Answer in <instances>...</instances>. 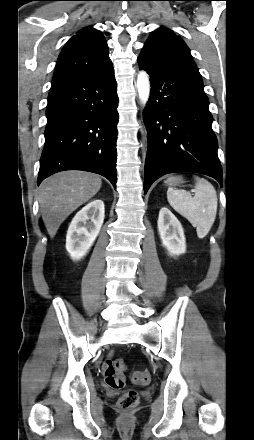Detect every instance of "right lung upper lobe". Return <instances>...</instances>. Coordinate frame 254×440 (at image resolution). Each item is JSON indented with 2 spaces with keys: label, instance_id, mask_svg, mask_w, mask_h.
<instances>
[{
  "label": "right lung upper lobe",
  "instance_id": "obj_1",
  "mask_svg": "<svg viewBox=\"0 0 254 440\" xmlns=\"http://www.w3.org/2000/svg\"><path fill=\"white\" fill-rule=\"evenodd\" d=\"M110 64L107 42L102 33L91 26L85 27L62 49L52 85L101 71Z\"/></svg>",
  "mask_w": 254,
  "mask_h": 440
}]
</instances>
